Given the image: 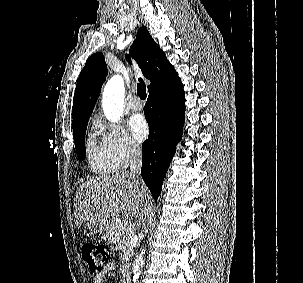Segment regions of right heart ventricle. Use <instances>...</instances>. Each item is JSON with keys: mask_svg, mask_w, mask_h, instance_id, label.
<instances>
[{"mask_svg": "<svg viewBox=\"0 0 303 283\" xmlns=\"http://www.w3.org/2000/svg\"><path fill=\"white\" fill-rule=\"evenodd\" d=\"M87 154L89 166L95 173L110 174L119 168L92 135L89 136L87 141Z\"/></svg>", "mask_w": 303, "mask_h": 283, "instance_id": "e07e8e85", "label": "right heart ventricle"}]
</instances>
